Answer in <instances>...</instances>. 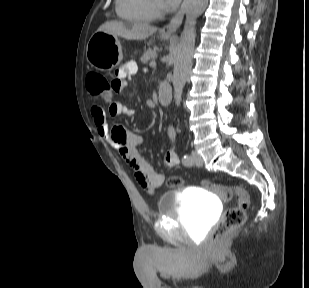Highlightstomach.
Returning a JSON list of instances; mask_svg holds the SVG:
<instances>
[{"label":"stomach","instance_id":"obj_1","mask_svg":"<svg viewBox=\"0 0 309 288\" xmlns=\"http://www.w3.org/2000/svg\"><path fill=\"white\" fill-rule=\"evenodd\" d=\"M169 36L161 35V39ZM86 57L91 66L101 71H110L123 59L121 43L117 36L108 32H95L87 43Z\"/></svg>","mask_w":309,"mask_h":288}]
</instances>
